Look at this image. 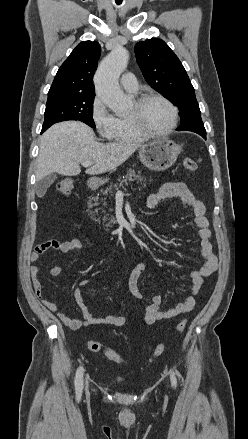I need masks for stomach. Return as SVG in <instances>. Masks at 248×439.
Returning <instances> with one entry per match:
<instances>
[{
  "instance_id": "obj_1",
  "label": "stomach",
  "mask_w": 248,
  "mask_h": 439,
  "mask_svg": "<svg viewBox=\"0 0 248 439\" xmlns=\"http://www.w3.org/2000/svg\"><path fill=\"white\" fill-rule=\"evenodd\" d=\"M181 146L169 139H158L139 148L140 161L149 169L163 171L171 167L181 153ZM107 178H92L91 187L98 188Z\"/></svg>"
}]
</instances>
